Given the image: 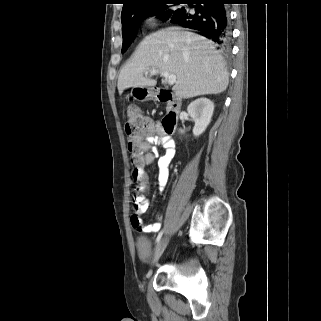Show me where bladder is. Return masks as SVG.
<instances>
[{
    "label": "bladder",
    "instance_id": "obj_1",
    "mask_svg": "<svg viewBox=\"0 0 321 321\" xmlns=\"http://www.w3.org/2000/svg\"><path fill=\"white\" fill-rule=\"evenodd\" d=\"M136 248L140 258L146 262L152 253V242L147 236L141 235L136 238Z\"/></svg>",
    "mask_w": 321,
    "mask_h": 321
}]
</instances>
